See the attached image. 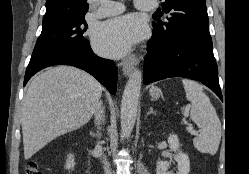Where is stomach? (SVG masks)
Instances as JSON below:
<instances>
[{"label":"stomach","mask_w":249,"mask_h":174,"mask_svg":"<svg viewBox=\"0 0 249 174\" xmlns=\"http://www.w3.org/2000/svg\"><path fill=\"white\" fill-rule=\"evenodd\" d=\"M150 95L154 99H158L161 95V90L158 87H151Z\"/></svg>","instance_id":"0dacf381"}]
</instances>
